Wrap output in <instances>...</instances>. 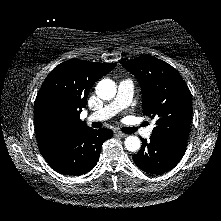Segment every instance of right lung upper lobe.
Returning a JSON list of instances; mask_svg holds the SVG:
<instances>
[{
    "mask_svg": "<svg viewBox=\"0 0 221 221\" xmlns=\"http://www.w3.org/2000/svg\"><path fill=\"white\" fill-rule=\"evenodd\" d=\"M116 63L71 59L56 66L42 84L34 104L39 150L47 158L79 132L89 128L80 120L88 93Z\"/></svg>",
    "mask_w": 221,
    "mask_h": 221,
    "instance_id": "right-lung-upper-lobe-1",
    "label": "right lung upper lobe"
}]
</instances>
